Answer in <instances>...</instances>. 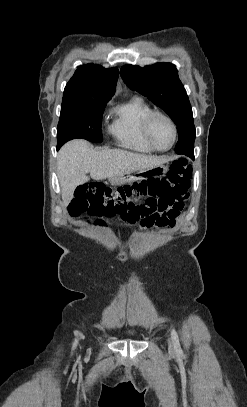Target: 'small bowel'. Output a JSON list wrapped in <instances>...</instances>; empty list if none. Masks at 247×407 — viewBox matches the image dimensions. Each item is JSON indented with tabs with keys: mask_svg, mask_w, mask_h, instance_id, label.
<instances>
[{
	"mask_svg": "<svg viewBox=\"0 0 247 407\" xmlns=\"http://www.w3.org/2000/svg\"><path fill=\"white\" fill-rule=\"evenodd\" d=\"M184 209L183 201L146 198L136 209L118 216L121 221L138 224L142 230H166L176 225Z\"/></svg>",
	"mask_w": 247,
	"mask_h": 407,
	"instance_id": "1",
	"label": "small bowel"
}]
</instances>
